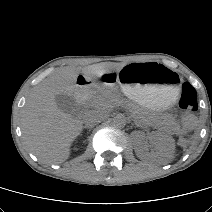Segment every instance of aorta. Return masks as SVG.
I'll return each mask as SVG.
<instances>
[{"mask_svg": "<svg viewBox=\"0 0 212 212\" xmlns=\"http://www.w3.org/2000/svg\"><path fill=\"white\" fill-rule=\"evenodd\" d=\"M113 126L123 128L126 125V119L123 115H117L112 120Z\"/></svg>", "mask_w": 212, "mask_h": 212, "instance_id": "1", "label": "aorta"}]
</instances>
